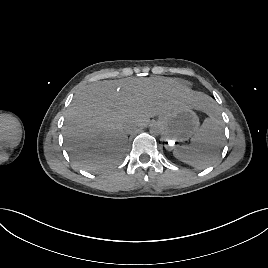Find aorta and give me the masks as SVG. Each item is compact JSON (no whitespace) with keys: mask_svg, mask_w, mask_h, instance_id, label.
<instances>
[{"mask_svg":"<svg viewBox=\"0 0 268 268\" xmlns=\"http://www.w3.org/2000/svg\"><path fill=\"white\" fill-rule=\"evenodd\" d=\"M149 132L152 135H158L162 132V127L160 124L154 123L150 126Z\"/></svg>","mask_w":268,"mask_h":268,"instance_id":"obj_1","label":"aorta"}]
</instances>
